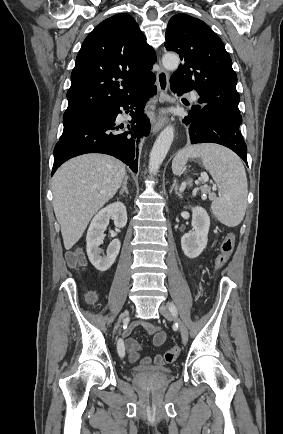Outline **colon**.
I'll use <instances>...</instances> for the list:
<instances>
[{"instance_id":"5ec220e1","label":"colon","mask_w":283,"mask_h":434,"mask_svg":"<svg viewBox=\"0 0 283 434\" xmlns=\"http://www.w3.org/2000/svg\"><path fill=\"white\" fill-rule=\"evenodd\" d=\"M234 244H235V235L233 233H228L223 237L220 244L219 252L214 261V268L216 271L223 268L225 264L228 262L233 252ZM68 264L71 268L83 267L85 265V260L83 255L81 253L70 254L68 257ZM178 355H179V348L172 347L165 352L164 358L166 362L170 363L175 361Z\"/></svg>"}]
</instances>
